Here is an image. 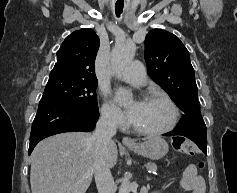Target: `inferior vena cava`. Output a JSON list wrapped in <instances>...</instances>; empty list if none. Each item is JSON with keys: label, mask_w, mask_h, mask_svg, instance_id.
<instances>
[{"label": "inferior vena cava", "mask_w": 237, "mask_h": 193, "mask_svg": "<svg viewBox=\"0 0 237 193\" xmlns=\"http://www.w3.org/2000/svg\"><path fill=\"white\" fill-rule=\"evenodd\" d=\"M118 120L114 113L103 112L92 135L94 141V174L98 193H115L116 186L107 163L109 146L116 134Z\"/></svg>", "instance_id": "inferior-vena-cava-1"}]
</instances>
